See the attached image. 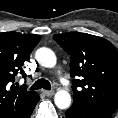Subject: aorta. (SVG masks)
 Here are the masks:
<instances>
[{
	"instance_id": "aorta-1",
	"label": "aorta",
	"mask_w": 118,
	"mask_h": 118,
	"mask_svg": "<svg viewBox=\"0 0 118 118\" xmlns=\"http://www.w3.org/2000/svg\"><path fill=\"white\" fill-rule=\"evenodd\" d=\"M35 58L40 65L47 68L54 67L57 62L55 53L46 47L39 48ZM54 102L59 109H67L71 105V96L67 90H58L54 96Z\"/></svg>"
}]
</instances>
